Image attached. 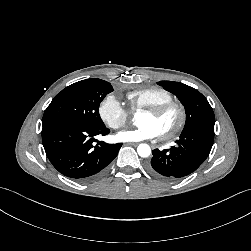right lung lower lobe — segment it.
<instances>
[{
  "label": "right lung lower lobe",
  "instance_id": "1",
  "mask_svg": "<svg viewBox=\"0 0 251 251\" xmlns=\"http://www.w3.org/2000/svg\"><path fill=\"white\" fill-rule=\"evenodd\" d=\"M110 131L105 125L83 126L71 123H49L42 128V142L53 166L63 175L85 181L102 172L117 156L122 144L96 141V135Z\"/></svg>",
  "mask_w": 251,
  "mask_h": 251
}]
</instances>
